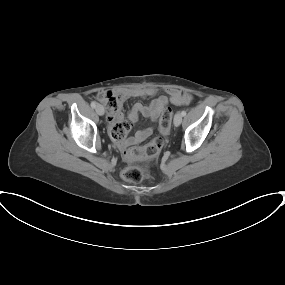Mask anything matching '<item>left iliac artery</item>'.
Returning <instances> with one entry per match:
<instances>
[{
    "mask_svg": "<svg viewBox=\"0 0 285 285\" xmlns=\"http://www.w3.org/2000/svg\"><path fill=\"white\" fill-rule=\"evenodd\" d=\"M181 114H182V116H185V115H186V111L183 110V111L181 112Z\"/></svg>",
    "mask_w": 285,
    "mask_h": 285,
    "instance_id": "1",
    "label": "left iliac artery"
}]
</instances>
